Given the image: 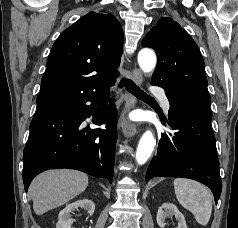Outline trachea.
Here are the masks:
<instances>
[{"label": "trachea", "instance_id": "trachea-1", "mask_svg": "<svg viewBox=\"0 0 238 228\" xmlns=\"http://www.w3.org/2000/svg\"><path fill=\"white\" fill-rule=\"evenodd\" d=\"M119 86L120 87L125 86V88L130 93H132L133 95H135L139 99H153L150 95H148L143 90H141L133 81H131L129 79H122Z\"/></svg>", "mask_w": 238, "mask_h": 228}]
</instances>
